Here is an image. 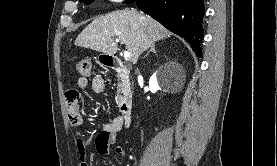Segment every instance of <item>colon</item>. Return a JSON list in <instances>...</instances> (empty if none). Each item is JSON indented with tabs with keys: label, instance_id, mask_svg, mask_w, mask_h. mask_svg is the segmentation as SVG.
Listing matches in <instances>:
<instances>
[{
	"label": "colon",
	"instance_id": "5ec220e1",
	"mask_svg": "<svg viewBox=\"0 0 277 166\" xmlns=\"http://www.w3.org/2000/svg\"><path fill=\"white\" fill-rule=\"evenodd\" d=\"M76 70L82 77H88L91 73V61L88 58L78 60Z\"/></svg>",
	"mask_w": 277,
	"mask_h": 166
}]
</instances>
